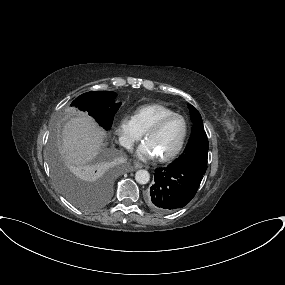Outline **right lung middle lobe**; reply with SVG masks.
I'll return each mask as SVG.
<instances>
[{"label": "right lung middle lobe", "instance_id": "right-lung-middle-lobe-1", "mask_svg": "<svg viewBox=\"0 0 285 285\" xmlns=\"http://www.w3.org/2000/svg\"><path fill=\"white\" fill-rule=\"evenodd\" d=\"M115 93L112 91H92L78 96L71 105L80 110L87 111L104 129L109 130L112 126L114 115L120 107V103L114 104ZM55 147L51 150V163L56 182L64 196L79 208L95 209L104 202L110 193L111 175L103 172L98 182L101 186L102 200L93 202L89 200L79 187L77 180L69 175L58 162L55 155Z\"/></svg>", "mask_w": 285, "mask_h": 285}]
</instances>
